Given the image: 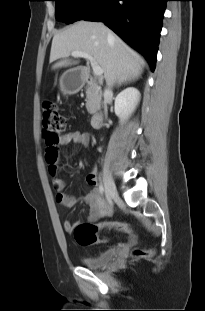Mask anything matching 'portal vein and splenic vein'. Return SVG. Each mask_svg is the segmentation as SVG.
Here are the masks:
<instances>
[{"mask_svg": "<svg viewBox=\"0 0 205 311\" xmlns=\"http://www.w3.org/2000/svg\"><path fill=\"white\" fill-rule=\"evenodd\" d=\"M71 55L73 57H81V58L87 59L92 66V69H93L95 76H101L103 74L102 68L96 63V61L94 60V58L92 56H90L86 53H83V52H76V51L72 52Z\"/></svg>", "mask_w": 205, "mask_h": 311, "instance_id": "obj_1", "label": "portal vein and splenic vein"}]
</instances>
